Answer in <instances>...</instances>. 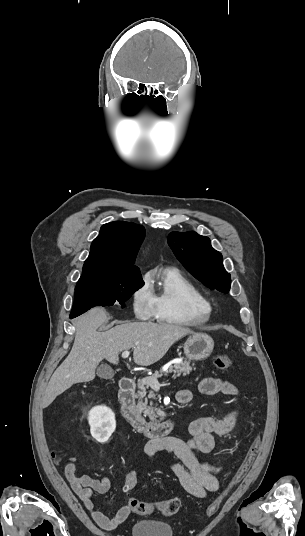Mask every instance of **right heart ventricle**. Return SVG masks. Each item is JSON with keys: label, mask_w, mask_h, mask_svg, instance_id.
I'll return each instance as SVG.
<instances>
[{"label": "right heart ventricle", "mask_w": 305, "mask_h": 536, "mask_svg": "<svg viewBox=\"0 0 305 536\" xmlns=\"http://www.w3.org/2000/svg\"><path fill=\"white\" fill-rule=\"evenodd\" d=\"M155 318L164 323L198 326L209 322V302L199 288L179 270L160 271L150 284Z\"/></svg>", "instance_id": "1"}]
</instances>
